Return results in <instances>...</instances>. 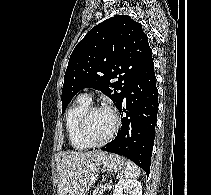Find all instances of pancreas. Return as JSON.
<instances>
[{
  "label": "pancreas",
  "mask_w": 211,
  "mask_h": 195,
  "mask_svg": "<svg viewBox=\"0 0 211 195\" xmlns=\"http://www.w3.org/2000/svg\"><path fill=\"white\" fill-rule=\"evenodd\" d=\"M105 190H107L106 184H102L93 191L92 195H103Z\"/></svg>",
  "instance_id": "pancreas-1"
}]
</instances>
